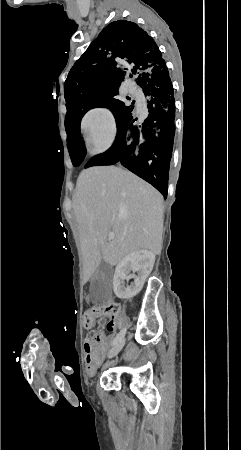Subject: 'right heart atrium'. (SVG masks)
<instances>
[{
  "instance_id": "obj_1",
  "label": "right heart atrium",
  "mask_w": 241,
  "mask_h": 450,
  "mask_svg": "<svg viewBox=\"0 0 241 450\" xmlns=\"http://www.w3.org/2000/svg\"><path fill=\"white\" fill-rule=\"evenodd\" d=\"M86 134L84 137L88 151L92 155L106 152L111 147L116 133V122L112 112L104 107L91 110L85 119Z\"/></svg>"
}]
</instances>
